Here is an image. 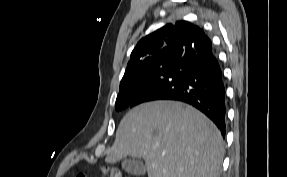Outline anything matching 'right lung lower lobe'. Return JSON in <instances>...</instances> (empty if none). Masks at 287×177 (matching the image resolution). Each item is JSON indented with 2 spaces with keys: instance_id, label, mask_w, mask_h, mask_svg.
<instances>
[{
  "instance_id": "right-lung-lower-lobe-1",
  "label": "right lung lower lobe",
  "mask_w": 287,
  "mask_h": 177,
  "mask_svg": "<svg viewBox=\"0 0 287 177\" xmlns=\"http://www.w3.org/2000/svg\"><path fill=\"white\" fill-rule=\"evenodd\" d=\"M177 100L196 107L226 133V92L212 42L202 31L189 44L180 61L148 86L131 104Z\"/></svg>"
}]
</instances>
